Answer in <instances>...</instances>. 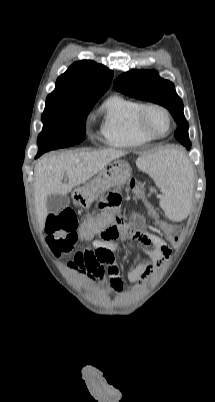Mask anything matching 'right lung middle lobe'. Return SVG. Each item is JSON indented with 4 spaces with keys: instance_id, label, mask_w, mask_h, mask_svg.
Segmentation results:
<instances>
[{
    "instance_id": "dd1d6c3e",
    "label": "right lung middle lobe",
    "mask_w": 215,
    "mask_h": 402,
    "mask_svg": "<svg viewBox=\"0 0 215 402\" xmlns=\"http://www.w3.org/2000/svg\"><path fill=\"white\" fill-rule=\"evenodd\" d=\"M98 100L99 98L46 99L42 114L43 130L37 139L36 158L49 150L82 142L85 138L87 115Z\"/></svg>"
}]
</instances>
